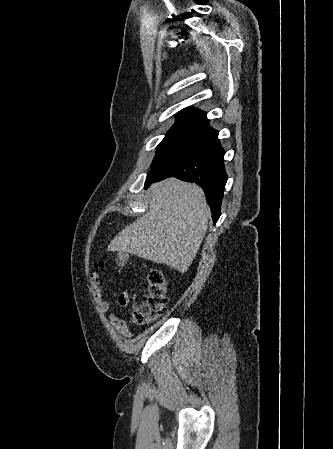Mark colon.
<instances>
[{
    "label": "colon",
    "mask_w": 333,
    "mask_h": 449,
    "mask_svg": "<svg viewBox=\"0 0 333 449\" xmlns=\"http://www.w3.org/2000/svg\"><path fill=\"white\" fill-rule=\"evenodd\" d=\"M129 255L122 251L111 252L106 260L98 263V268H102L106 263H111L117 268L125 267L128 263ZM167 304V290L164 274L160 271H153L148 278V289L142 301L138 303L132 312V322L137 325H144L155 321L165 310Z\"/></svg>",
    "instance_id": "5ec220e1"
}]
</instances>
